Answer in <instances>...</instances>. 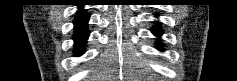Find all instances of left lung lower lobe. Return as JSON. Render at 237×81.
I'll list each match as a JSON object with an SVG mask.
<instances>
[{
    "label": "left lung lower lobe",
    "mask_w": 237,
    "mask_h": 81,
    "mask_svg": "<svg viewBox=\"0 0 237 81\" xmlns=\"http://www.w3.org/2000/svg\"><path fill=\"white\" fill-rule=\"evenodd\" d=\"M152 32H153L155 35H157V36H160V34H161V31H160L159 29H157V28L153 29ZM158 48H159V47H158Z\"/></svg>",
    "instance_id": "left-lung-lower-lobe-1"
}]
</instances>
